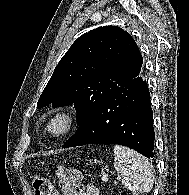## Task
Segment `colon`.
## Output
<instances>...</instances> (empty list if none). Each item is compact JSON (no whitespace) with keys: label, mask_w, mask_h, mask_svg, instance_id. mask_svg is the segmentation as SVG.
<instances>
[{"label":"colon","mask_w":189,"mask_h":195,"mask_svg":"<svg viewBox=\"0 0 189 195\" xmlns=\"http://www.w3.org/2000/svg\"><path fill=\"white\" fill-rule=\"evenodd\" d=\"M60 187L64 195H85V189L81 183V175L64 167L57 169ZM35 195H56L54 185L45 177L38 176L33 181Z\"/></svg>","instance_id":"obj_1"}]
</instances>
